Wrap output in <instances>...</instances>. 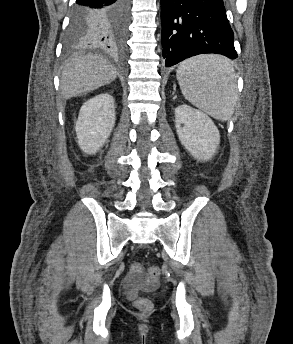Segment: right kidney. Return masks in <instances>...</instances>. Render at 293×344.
Masks as SVG:
<instances>
[{
	"instance_id": "1",
	"label": "right kidney",
	"mask_w": 293,
	"mask_h": 344,
	"mask_svg": "<svg viewBox=\"0 0 293 344\" xmlns=\"http://www.w3.org/2000/svg\"><path fill=\"white\" fill-rule=\"evenodd\" d=\"M114 99L102 93L86 101L76 122L78 145L86 154H95L109 138L115 125Z\"/></svg>"
}]
</instances>
